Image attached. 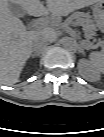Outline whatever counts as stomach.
<instances>
[{"mask_svg":"<svg viewBox=\"0 0 104 137\" xmlns=\"http://www.w3.org/2000/svg\"><path fill=\"white\" fill-rule=\"evenodd\" d=\"M103 1V0H102ZM102 1L100 0L98 3L94 5L93 13L95 17H100L102 14ZM88 44V42H86Z\"/></svg>","mask_w":104,"mask_h":137,"instance_id":"stomach-1","label":"stomach"}]
</instances>
